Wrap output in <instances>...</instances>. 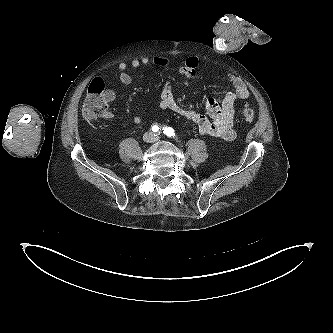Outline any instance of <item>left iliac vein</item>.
Masks as SVG:
<instances>
[{
    "label": "left iliac vein",
    "mask_w": 333,
    "mask_h": 333,
    "mask_svg": "<svg viewBox=\"0 0 333 333\" xmlns=\"http://www.w3.org/2000/svg\"><path fill=\"white\" fill-rule=\"evenodd\" d=\"M159 139V137H155V140H158Z\"/></svg>",
    "instance_id": "obj_1"
}]
</instances>
